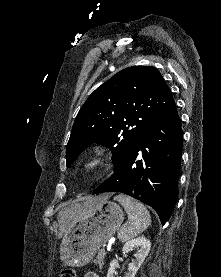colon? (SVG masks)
<instances>
[{
    "label": "colon",
    "instance_id": "5ec220e1",
    "mask_svg": "<svg viewBox=\"0 0 221 277\" xmlns=\"http://www.w3.org/2000/svg\"><path fill=\"white\" fill-rule=\"evenodd\" d=\"M61 277H76L75 272L71 269H66L62 271Z\"/></svg>",
    "mask_w": 221,
    "mask_h": 277
}]
</instances>
